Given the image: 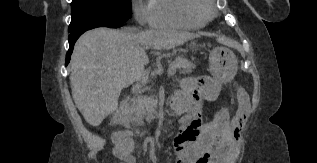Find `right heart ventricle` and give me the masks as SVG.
Instances as JSON below:
<instances>
[{"label":"right heart ventricle","instance_id":"1","mask_svg":"<svg viewBox=\"0 0 317 163\" xmlns=\"http://www.w3.org/2000/svg\"><path fill=\"white\" fill-rule=\"evenodd\" d=\"M150 2L152 28L196 30L207 22L203 15L189 10L190 0H150Z\"/></svg>","mask_w":317,"mask_h":163}]
</instances>
